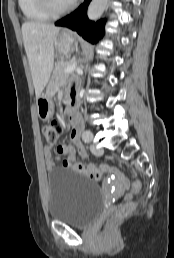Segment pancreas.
Listing matches in <instances>:
<instances>
[{
	"mask_svg": "<svg viewBox=\"0 0 174 258\" xmlns=\"http://www.w3.org/2000/svg\"><path fill=\"white\" fill-rule=\"evenodd\" d=\"M74 64L73 61H60L55 66L54 72H53V81H52V90H56V87L60 84H62L68 77L69 73H65L64 70L68 65Z\"/></svg>",
	"mask_w": 174,
	"mask_h": 258,
	"instance_id": "1",
	"label": "pancreas"
}]
</instances>
